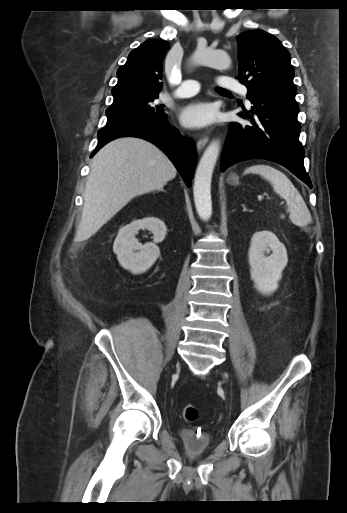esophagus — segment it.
I'll use <instances>...</instances> for the list:
<instances>
[{
	"instance_id": "esophagus-1",
	"label": "esophagus",
	"mask_w": 347,
	"mask_h": 513,
	"mask_svg": "<svg viewBox=\"0 0 347 513\" xmlns=\"http://www.w3.org/2000/svg\"><path fill=\"white\" fill-rule=\"evenodd\" d=\"M209 137L207 135L203 136L197 141L196 147L198 151H202L205 145L208 143Z\"/></svg>"
}]
</instances>
